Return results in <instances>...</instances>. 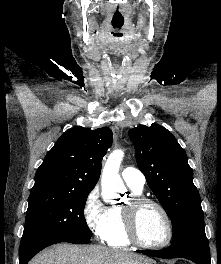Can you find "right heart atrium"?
Segmentation results:
<instances>
[{
  "instance_id": "d8ad5b80",
  "label": "right heart atrium",
  "mask_w": 221,
  "mask_h": 264,
  "mask_svg": "<svg viewBox=\"0 0 221 264\" xmlns=\"http://www.w3.org/2000/svg\"><path fill=\"white\" fill-rule=\"evenodd\" d=\"M82 212L87 228L96 238L104 240L110 225L111 209L103 203L97 187L87 194Z\"/></svg>"
}]
</instances>
